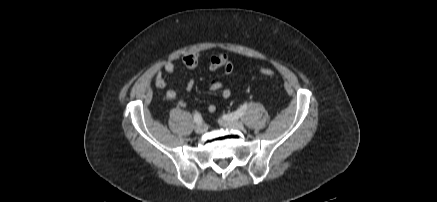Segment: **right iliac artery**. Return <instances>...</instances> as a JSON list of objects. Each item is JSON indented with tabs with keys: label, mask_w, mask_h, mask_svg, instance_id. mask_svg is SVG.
Wrapping results in <instances>:
<instances>
[{
	"label": "right iliac artery",
	"mask_w": 437,
	"mask_h": 202,
	"mask_svg": "<svg viewBox=\"0 0 437 202\" xmlns=\"http://www.w3.org/2000/svg\"><path fill=\"white\" fill-rule=\"evenodd\" d=\"M194 121L197 123V124H202V116H201V114H199L198 112L197 113H195V115H194Z\"/></svg>",
	"instance_id": "1"
}]
</instances>
